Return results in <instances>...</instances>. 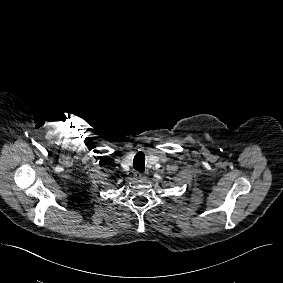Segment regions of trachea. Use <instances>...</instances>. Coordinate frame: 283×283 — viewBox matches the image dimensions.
<instances>
[{"instance_id":"obj_1","label":"trachea","mask_w":283,"mask_h":283,"mask_svg":"<svg viewBox=\"0 0 283 283\" xmlns=\"http://www.w3.org/2000/svg\"><path fill=\"white\" fill-rule=\"evenodd\" d=\"M133 167L135 170L144 171L145 169V155L143 152H138L133 159Z\"/></svg>"}]
</instances>
